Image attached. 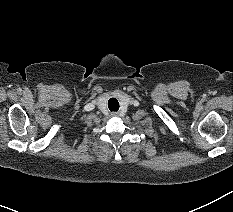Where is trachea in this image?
<instances>
[{"label":"trachea","mask_w":233,"mask_h":212,"mask_svg":"<svg viewBox=\"0 0 233 212\" xmlns=\"http://www.w3.org/2000/svg\"><path fill=\"white\" fill-rule=\"evenodd\" d=\"M108 107L111 111H118L119 109V102L117 99L115 98H111L109 101H108Z\"/></svg>","instance_id":"3493384b"}]
</instances>
